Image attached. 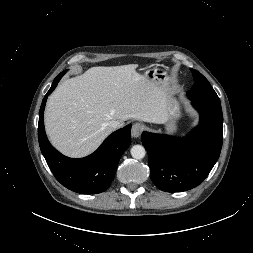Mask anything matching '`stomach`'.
Here are the masks:
<instances>
[{
  "label": "stomach",
  "mask_w": 253,
  "mask_h": 253,
  "mask_svg": "<svg viewBox=\"0 0 253 253\" xmlns=\"http://www.w3.org/2000/svg\"><path fill=\"white\" fill-rule=\"evenodd\" d=\"M144 75L150 80L157 81L161 84H166L167 74L161 68L154 67L151 69H147ZM168 98H169L168 115L166 121L163 124L165 130L168 133H175L177 131V122L178 119L180 118L181 110L179 103L170 92L168 93Z\"/></svg>",
  "instance_id": "obj_1"
}]
</instances>
